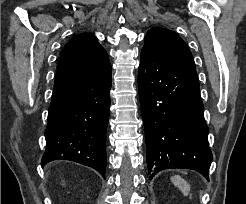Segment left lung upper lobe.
<instances>
[{"mask_svg": "<svg viewBox=\"0 0 246 204\" xmlns=\"http://www.w3.org/2000/svg\"><path fill=\"white\" fill-rule=\"evenodd\" d=\"M142 51L152 53L164 61L195 69L188 46L171 30L161 27L150 29L146 34Z\"/></svg>", "mask_w": 246, "mask_h": 204, "instance_id": "left-lung-upper-lobe-1", "label": "left lung upper lobe"}]
</instances>
